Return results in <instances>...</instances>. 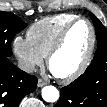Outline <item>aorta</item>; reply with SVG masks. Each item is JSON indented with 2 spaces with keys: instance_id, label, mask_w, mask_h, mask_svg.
<instances>
[{
  "instance_id": "762f6f07",
  "label": "aorta",
  "mask_w": 107,
  "mask_h": 107,
  "mask_svg": "<svg viewBox=\"0 0 107 107\" xmlns=\"http://www.w3.org/2000/svg\"><path fill=\"white\" fill-rule=\"evenodd\" d=\"M42 98L46 101V102H56L59 99V91L56 87L54 86H45L42 89Z\"/></svg>"
}]
</instances>
